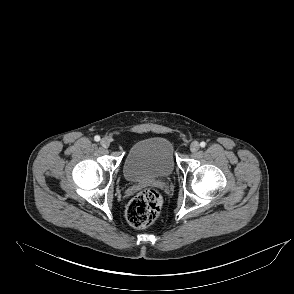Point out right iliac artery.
Here are the masks:
<instances>
[{"label": "right iliac artery", "instance_id": "82829eb1", "mask_svg": "<svg viewBox=\"0 0 294 294\" xmlns=\"http://www.w3.org/2000/svg\"><path fill=\"white\" fill-rule=\"evenodd\" d=\"M94 140H95L96 142L100 141V136L96 135V136L94 137Z\"/></svg>", "mask_w": 294, "mask_h": 294}]
</instances>
